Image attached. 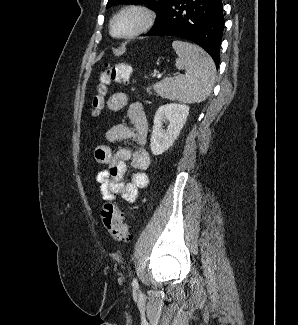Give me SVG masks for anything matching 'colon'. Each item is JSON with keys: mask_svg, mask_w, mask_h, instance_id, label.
Instances as JSON below:
<instances>
[{"mask_svg": "<svg viewBox=\"0 0 298 325\" xmlns=\"http://www.w3.org/2000/svg\"><path fill=\"white\" fill-rule=\"evenodd\" d=\"M132 67L126 62L106 65L104 71L99 75L97 93L92 99V113L97 116L105 106V95L110 83L127 84L131 76ZM101 219L108 234L117 241H126L130 234L125 224L122 212L111 202L102 206Z\"/></svg>", "mask_w": 298, "mask_h": 325, "instance_id": "obj_1", "label": "colon"}]
</instances>
